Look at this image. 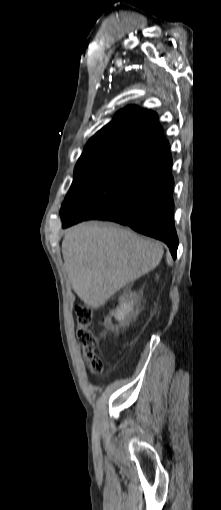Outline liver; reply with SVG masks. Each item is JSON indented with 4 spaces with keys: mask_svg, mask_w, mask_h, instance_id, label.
Masks as SVG:
<instances>
[{
    "mask_svg": "<svg viewBox=\"0 0 221 510\" xmlns=\"http://www.w3.org/2000/svg\"><path fill=\"white\" fill-rule=\"evenodd\" d=\"M163 252L160 242L110 223H80L68 229L62 241L72 288L92 308L156 268Z\"/></svg>",
    "mask_w": 221,
    "mask_h": 510,
    "instance_id": "6515ba94",
    "label": "liver"
}]
</instances>
